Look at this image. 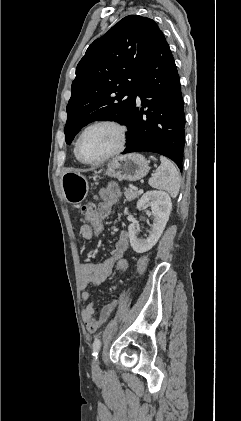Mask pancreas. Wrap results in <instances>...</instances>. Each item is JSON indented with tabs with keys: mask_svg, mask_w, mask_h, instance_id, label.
Segmentation results:
<instances>
[{
	"mask_svg": "<svg viewBox=\"0 0 241 421\" xmlns=\"http://www.w3.org/2000/svg\"><path fill=\"white\" fill-rule=\"evenodd\" d=\"M124 195L128 201H131L137 198L139 193L132 188H124Z\"/></svg>",
	"mask_w": 241,
	"mask_h": 421,
	"instance_id": "obj_1",
	"label": "pancreas"
}]
</instances>
